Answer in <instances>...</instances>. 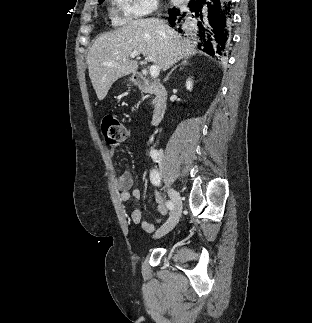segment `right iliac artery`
Listing matches in <instances>:
<instances>
[{
	"mask_svg": "<svg viewBox=\"0 0 312 323\" xmlns=\"http://www.w3.org/2000/svg\"><path fill=\"white\" fill-rule=\"evenodd\" d=\"M150 156L152 157V159L155 162H157L159 153L157 151H151L150 152ZM150 180H151V183L153 185H156V186H159L160 185V177H159V173H158L157 170H153L150 173ZM166 205H167L168 209H170V210H173L174 209V204L171 201H167Z\"/></svg>",
	"mask_w": 312,
	"mask_h": 323,
	"instance_id": "obj_1",
	"label": "right iliac artery"
}]
</instances>
